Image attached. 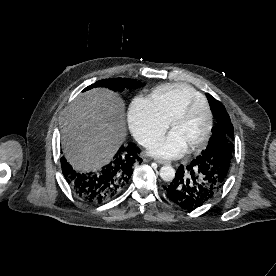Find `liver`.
Returning <instances> with one entry per match:
<instances>
[{"label": "liver", "instance_id": "6515ba94", "mask_svg": "<svg viewBox=\"0 0 276 276\" xmlns=\"http://www.w3.org/2000/svg\"><path fill=\"white\" fill-rule=\"evenodd\" d=\"M61 132L67 161L76 170L95 171L112 159L126 138L124 102L108 89L82 93L65 112Z\"/></svg>", "mask_w": 276, "mask_h": 276}]
</instances>
